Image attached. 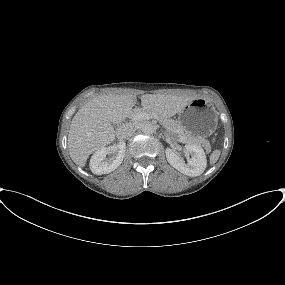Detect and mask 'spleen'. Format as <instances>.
<instances>
[{
  "label": "spleen",
  "instance_id": "spleen-1",
  "mask_svg": "<svg viewBox=\"0 0 285 285\" xmlns=\"http://www.w3.org/2000/svg\"><path fill=\"white\" fill-rule=\"evenodd\" d=\"M220 153H221L220 150L213 151V153L210 155V164H215L217 162Z\"/></svg>",
  "mask_w": 285,
  "mask_h": 285
}]
</instances>
